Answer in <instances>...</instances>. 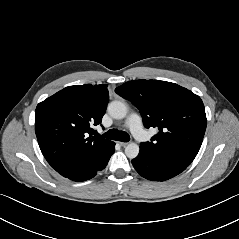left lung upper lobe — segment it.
<instances>
[{"mask_svg": "<svg viewBox=\"0 0 239 239\" xmlns=\"http://www.w3.org/2000/svg\"><path fill=\"white\" fill-rule=\"evenodd\" d=\"M115 92L132 102L146 128L157 127L151 142L141 143L147 152L189 166L204 137L207 119L201 98L175 83L159 80H134Z\"/></svg>", "mask_w": 239, "mask_h": 239, "instance_id": "obj_1", "label": "left lung upper lobe"}]
</instances>
